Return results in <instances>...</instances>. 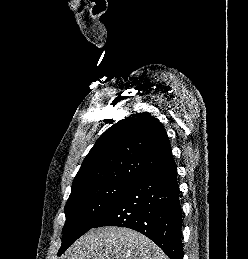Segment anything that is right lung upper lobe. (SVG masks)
<instances>
[{
  "label": "right lung upper lobe",
  "instance_id": "obj_1",
  "mask_svg": "<svg viewBox=\"0 0 248 259\" xmlns=\"http://www.w3.org/2000/svg\"><path fill=\"white\" fill-rule=\"evenodd\" d=\"M174 162L163 125L149 113H137L105 131L84 159L72 189L139 177Z\"/></svg>",
  "mask_w": 248,
  "mask_h": 259
}]
</instances>
